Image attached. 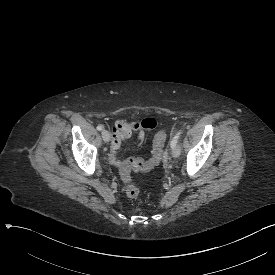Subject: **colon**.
I'll use <instances>...</instances> for the list:
<instances>
[{"mask_svg": "<svg viewBox=\"0 0 275 275\" xmlns=\"http://www.w3.org/2000/svg\"><path fill=\"white\" fill-rule=\"evenodd\" d=\"M166 139L167 131L165 129L159 130L153 138L152 155L147 161L128 158L120 167V178L124 184V190L128 197L136 198L140 193L139 187L132 182V172L134 170L138 172L143 170L150 171L156 168L163 156L164 142Z\"/></svg>", "mask_w": 275, "mask_h": 275, "instance_id": "1", "label": "colon"}]
</instances>
